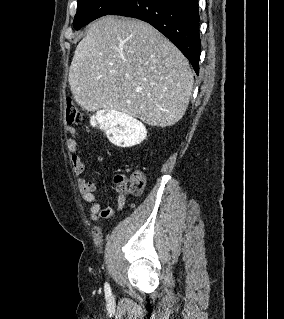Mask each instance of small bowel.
I'll use <instances>...</instances> for the list:
<instances>
[{
  "mask_svg": "<svg viewBox=\"0 0 284 319\" xmlns=\"http://www.w3.org/2000/svg\"><path fill=\"white\" fill-rule=\"evenodd\" d=\"M66 131L72 136L67 140L66 146L68 152L70 153V162L73 172L77 176V186L80 196L82 200L89 205L90 219L94 222H97L99 219H108L114 217L116 212L123 209L126 201L125 196L122 194L118 196L117 211H115L112 206L102 207L99 204L95 196L96 184L92 181H87L79 177L83 173L85 166L77 154L79 151V144L75 139L76 130L73 127H67ZM97 161L100 165H105V160L102 156H98Z\"/></svg>",
  "mask_w": 284,
  "mask_h": 319,
  "instance_id": "obj_1",
  "label": "small bowel"
}]
</instances>
